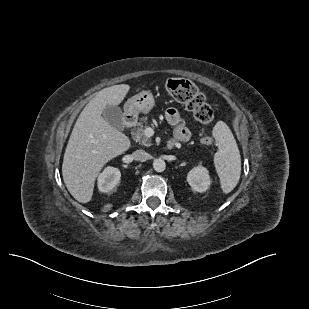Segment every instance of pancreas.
Segmentation results:
<instances>
[{
    "label": "pancreas",
    "mask_w": 309,
    "mask_h": 309,
    "mask_svg": "<svg viewBox=\"0 0 309 309\" xmlns=\"http://www.w3.org/2000/svg\"><path fill=\"white\" fill-rule=\"evenodd\" d=\"M148 127L146 118H142L141 122L138 123V127L133 129L131 134L133 139L141 144L142 146H151V140L145 135V129Z\"/></svg>",
    "instance_id": "pancreas-1"
}]
</instances>
